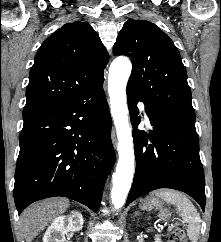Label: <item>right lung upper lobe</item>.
<instances>
[{"mask_svg":"<svg viewBox=\"0 0 221 242\" xmlns=\"http://www.w3.org/2000/svg\"><path fill=\"white\" fill-rule=\"evenodd\" d=\"M107 50L90 24L67 23L38 49L23 116L62 106L104 80Z\"/></svg>","mask_w":221,"mask_h":242,"instance_id":"right-lung-upper-lobe-1","label":"right lung upper lobe"}]
</instances>
